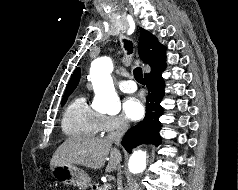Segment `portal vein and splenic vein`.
<instances>
[{"mask_svg": "<svg viewBox=\"0 0 238 190\" xmlns=\"http://www.w3.org/2000/svg\"><path fill=\"white\" fill-rule=\"evenodd\" d=\"M105 187L108 188V187H110V185H109V184H106Z\"/></svg>", "mask_w": 238, "mask_h": 190, "instance_id": "obj_1", "label": "portal vein and splenic vein"}]
</instances>
